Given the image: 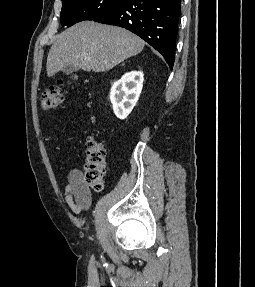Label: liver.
<instances>
[{"mask_svg":"<svg viewBox=\"0 0 255 287\" xmlns=\"http://www.w3.org/2000/svg\"><path fill=\"white\" fill-rule=\"evenodd\" d=\"M145 42L117 26L80 22L55 38L47 58V76L73 64L86 72H107L130 56L140 54Z\"/></svg>","mask_w":255,"mask_h":287,"instance_id":"liver-1","label":"liver"}]
</instances>
